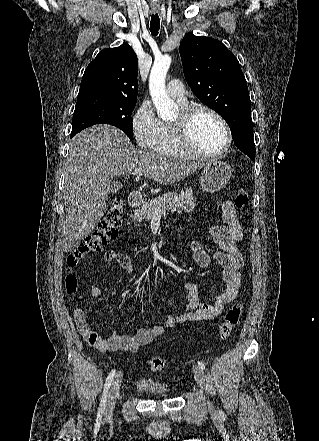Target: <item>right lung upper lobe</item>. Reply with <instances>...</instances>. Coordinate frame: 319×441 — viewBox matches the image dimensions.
I'll use <instances>...</instances> for the list:
<instances>
[{"instance_id":"right-lung-upper-lobe-1","label":"right lung upper lobe","mask_w":319,"mask_h":441,"mask_svg":"<svg viewBox=\"0 0 319 441\" xmlns=\"http://www.w3.org/2000/svg\"><path fill=\"white\" fill-rule=\"evenodd\" d=\"M137 75L138 59L127 43L117 48L104 49L87 66L77 99L99 98L136 102Z\"/></svg>"}]
</instances>
